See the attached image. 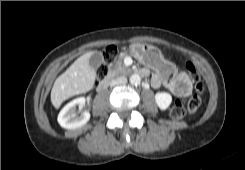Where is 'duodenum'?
Returning <instances> with one entry per match:
<instances>
[{"label": "duodenum", "mask_w": 245, "mask_h": 170, "mask_svg": "<svg viewBox=\"0 0 245 170\" xmlns=\"http://www.w3.org/2000/svg\"><path fill=\"white\" fill-rule=\"evenodd\" d=\"M140 74L142 75L143 73L140 72ZM109 81H110L109 78H106V79L102 80L101 82H99L97 85V91L101 92V91L105 90L106 87L109 85Z\"/></svg>", "instance_id": "duodenum-1"}]
</instances>
